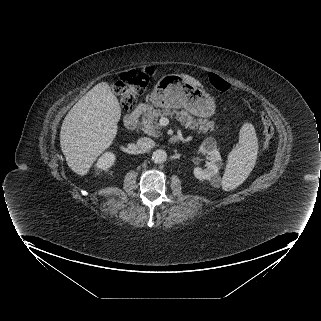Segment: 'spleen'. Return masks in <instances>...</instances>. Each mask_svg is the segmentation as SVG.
<instances>
[{
    "instance_id": "spleen-1",
    "label": "spleen",
    "mask_w": 321,
    "mask_h": 321,
    "mask_svg": "<svg viewBox=\"0 0 321 321\" xmlns=\"http://www.w3.org/2000/svg\"><path fill=\"white\" fill-rule=\"evenodd\" d=\"M258 152V140L254 126L245 123L239 133V144L229 153L222 188L231 191L241 185L254 168Z\"/></svg>"
}]
</instances>
